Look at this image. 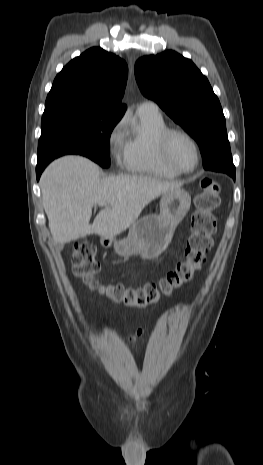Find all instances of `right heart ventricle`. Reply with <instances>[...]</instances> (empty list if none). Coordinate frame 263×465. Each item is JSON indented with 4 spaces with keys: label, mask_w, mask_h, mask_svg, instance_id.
I'll use <instances>...</instances> for the list:
<instances>
[{
    "label": "right heart ventricle",
    "mask_w": 263,
    "mask_h": 465,
    "mask_svg": "<svg viewBox=\"0 0 263 465\" xmlns=\"http://www.w3.org/2000/svg\"><path fill=\"white\" fill-rule=\"evenodd\" d=\"M167 128L160 113L137 112L123 143V165L128 172L163 178L179 175L165 166L159 155L158 139Z\"/></svg>",
    "instance_id": "e07e8e85"
}]
</instances>
